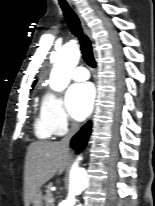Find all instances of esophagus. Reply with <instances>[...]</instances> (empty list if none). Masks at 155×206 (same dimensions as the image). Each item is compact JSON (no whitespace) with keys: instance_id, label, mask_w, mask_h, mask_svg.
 Wrapping results in <instances>:
<instances>
[{"instance_id":"esophagus-1","label":"esophagus","mask_w":155,"mask_h":206,"mask_svg":"<svg viewBox=\"0 0 155 206\" xmlns=\"http://www.w3.org/2000/svg\"><path fill=\"white\" fill-rule=\"evenodd\" d=\"M67 1H68V4L70 5V7L72 8V10L76 13V15L78 16V18L80 19L84 31L86 32V34L88 35V37L91 38L90 30H89L88 27L86 26V23H85L82 15H81V13L79 12L78 6H77L72 0H67Z\"/></svg>"}]
</instances>
